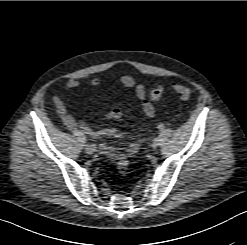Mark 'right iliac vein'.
<instances>
[{"mask_svg": "<svg viewBox=\"0 0 247 245\" xmlns=\"http://www.w3.org/2000/svg\"><path fill=\"white\" fill-rule=\"evenodd\" d=\"M95 150L94 149H91L88 145L86 146V152L88 154H92Z\"/></svg>", "mask_w": 247, "mask_h": 245, "instance_id": "obj_1", "label": "right iliac vein"}]
</instances>
